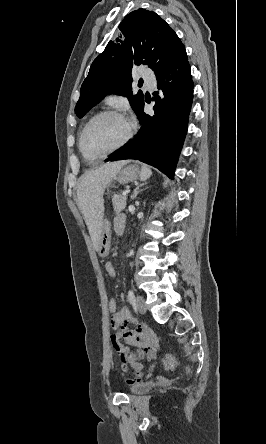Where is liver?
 <instances>
[{
	"mask_svg": "<svg viewBox=\"0 0 266 444\" xmlns=\"http://www.w3.org/2000/svg\"><path fill=\"white\" fill-rule=\"evenodd\" d=\"M128 162V160H122L107 163L85 172L80 178L77 189V201L84 215L96 251L99 249L104 217V190L116 177L120 169Z\"/></svg>",
	"mask_w": 266,
	"mask_h": 444,
	"instance_id": "6515ba94",
	"label": "liver"
}]
</instances>
